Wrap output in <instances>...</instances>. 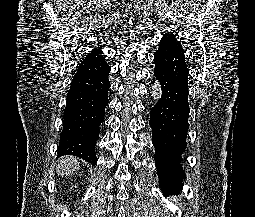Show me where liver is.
I'll use <instances>...</instances> for the list:
<instances>
[{
	"mask_svg": "<svg viewBox=\"0 0 255 217\" xmlns=\"http://www.w3.org/2000/svg\"><path fill=\"white\" fill-rule=\"evenodd\" d=\"M80 168V160L76 157H62L58 160L57 174L64 176L73 174Z\"/></svg>",
	"mask_w": 255,
	"mask_h": 217,
	"instance_id": "6515ba94",
	"label": "liver"
}]
</instances>
